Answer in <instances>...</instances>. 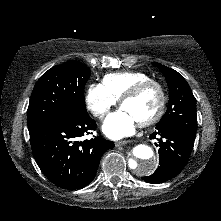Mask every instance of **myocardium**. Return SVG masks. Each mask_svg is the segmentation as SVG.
Returning <instances> with one entry per match:
<instances>
[{
  "label": "myocardium",
  "mask_w": 221,
  "mask_h": 221,
  "mask_svg": "<svg viewBox=\"0 0 221 221\" xmlns=\"http://www.w3.org/2000/svg\"><path fill=\"white\" fill-rule=\"evenodd\" d=\"M152 85L157 87V89L159 90L160 102H159V106L155 114L151 116L150 118L139 123V125L143 127L150 126L156 123L163 116L165 107H166V102H167V96H166V91L164 89V86L158 80L149 78L147 80L141 81L137 83L136 85H134L120 98V105L122 106L127 100L137 97L147 87L152 86Z\"/></svg>",
  "instance_id": "myocardium-1"
}]
</instances>
